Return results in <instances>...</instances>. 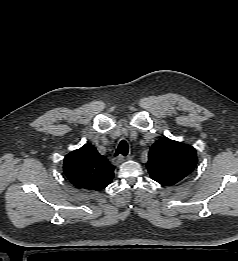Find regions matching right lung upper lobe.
I'll use <instances>...</instances> for the list:
<instances>
[{"label": "right lung upper lobe", "mask_w": 238, "mask_h": 261, "mask_svg": "<svg viewBox=\"0 0 238 261\" xmlns=\"http://www.w3.org/2000/svg\"><path fill=\"white\" fill-rule=\"evenodd\" d=\"M114 168L95 147L87 144L70 152L63 164L65 175L75 187L91 191L104 189L112 181Z\"/></svg>", "instance_id": "obj_1"}]
</instances>
